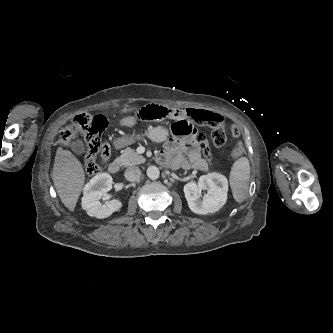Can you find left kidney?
Listing matches in <instances>:
<instances>
[{
    "instance_id": "obj_1",
    "label": "left kidney",
    "mask_w": 333,
    "mask_h": 333,
    "mask_svg": "<svg viewBox=\"0 0 333 333\" xmlns=\"http://www.w3.org/2000/svg\"><path fill=\"white\" fill-rule=\"evenodd\" d=\"M202 190H206L207 194L202 196ZM227 192V178L215 172L202 175L197 183L189 182L184 186L189 208L199 215L217 212L225 204Z\"/></svg>"
}]
</instances>
